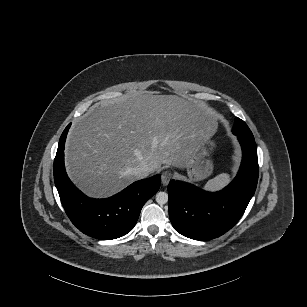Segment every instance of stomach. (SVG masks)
Returning a JSON list of instances; mask_svg holds the SVG:
<instances>
[{"label": "stomach", "mask_w": 307, "mask_h": 307, "mask_svg": "<svg viewBox=\"0 0 307 307\" xmlns=\"http://www.w3.org/2000/svg\"><path fill=\"white\" fill-rule=\"evenodd\" d=\"M215 140L211 138L200 140L193 154L186 163L187 176L190 182H200L210 177L215 168Z\"/></svg>", "instance_id": "0dacf381"}]
</instances>
